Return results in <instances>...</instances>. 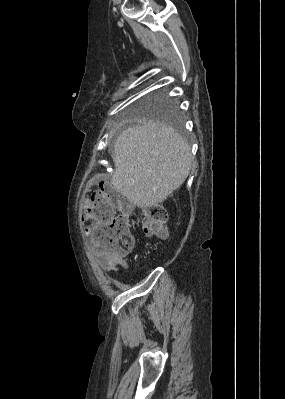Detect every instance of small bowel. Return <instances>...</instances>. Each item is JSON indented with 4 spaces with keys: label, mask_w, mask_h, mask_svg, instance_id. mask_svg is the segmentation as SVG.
Wrapping results in <instances>:
<instances>
[{
    "label": "small bowel",
    "mask_w": 285,
    "mask_h": 399,
    "mask_svg": "<svg viewBox=\"0 0 285 399\" xmlns=\"http://www.w3.org/2000/svg\"><path fill=\"white\" fill-rule=\"evenodd\" d=\"M108 263H110V264H111V261H109V260H108Z\"/></svg>",
    "instance_id": "c3829d8e"
}]
</instances>
